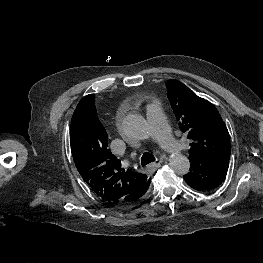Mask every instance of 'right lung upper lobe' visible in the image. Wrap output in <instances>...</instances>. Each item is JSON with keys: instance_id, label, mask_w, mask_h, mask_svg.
Segmentation results:
<instances>
[{"instance_id": "cb5924a9", "label": "right lung upper lobe", "mask_w": 263, "mask_h": 263, "mask_svg": "<svg viewBox=\"0 0 263 263\" xmlns=\"http://www.w3.org/2000/svg\"><path fill=\"white\" fill-rule=\"evenodd\" d=\"M70 145L81 177L111 207L133 205L150 184L146 175L121 168L120 160L108 149L107 133L98 120L94 94L82 98L73 113Z\"/></svg>"}]
</instances>
